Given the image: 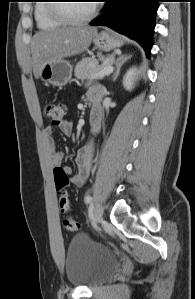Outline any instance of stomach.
I'll return each mask as SVG.
<instances>
[{
    "label": "stomach",
    "mask_w": 195,
    "mask_h": 299,
    "mask_svg": "<svg viewBox=\"0 0 195 299\" xmlns=\"http://www.w3.org/2000/svg\"><path fill=\"white\" fill-rule=\"evenodd\" d=\"M94 45L97 49L109 52L113 49L122 46L123 41L120 37L107 31H102L93 39ZM72 66L66 60H58L56 62L46 63L41 71L39 77L42 81L50 83L53 86H65L72 77Z\"/></svg>",
    "instance_id": "obj_1"
}]
</instances>
